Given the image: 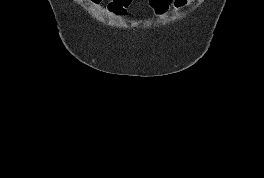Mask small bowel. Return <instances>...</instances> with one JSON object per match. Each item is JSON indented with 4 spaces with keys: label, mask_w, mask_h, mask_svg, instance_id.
<instances>
[{
    "label": "small bowel",
    "mask_w": 264,
    "mask_h": 178,
    "mask_svg": "<svg viewBox=\"0 0 264 178\" xmlns=\"http://www.w3.org/2000/svg\"><path fill=\"white\" fill-rule=\"evenodd\" d=\"M92 6H99L104 0H86ZM196 0H172L170 7L174 10L179 11L195 2ZM131 5V4H130Z\"/></svg>",
    "instance_id": "small-bowel-1"
}]
</instances>
